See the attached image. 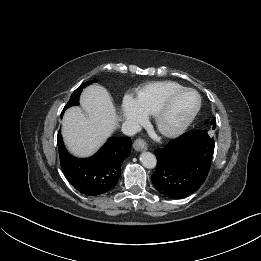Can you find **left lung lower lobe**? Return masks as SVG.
I'll list each match as a JSON object with an SVG mask.
<instances>
[{"mask_svg": "<svg viewBox=\"0 0 261 261\" xmlns=\"http://www.w3.org/2000/svg\"><path fill=\"white\" fill-rule=\"evenodd\" d=\"M214 146L206 131H189L156 149L157 167L151 176L156 190L173 199L195 192L208 175Z\"/></svg>", "mask_w": 261, "mask_h": 261, "instance_id": "1", "label": "left lung lower lobe"}]
</instances>
